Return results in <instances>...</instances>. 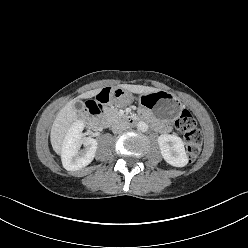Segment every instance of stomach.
Instances as JSON below:
<instances>
[{
    "mask_svg": "<svg viewBox=\"0 0 248 248\" xmlns=\"http://www.w3.org/2000/svg\"><path fill=\"white\" fill-rule=\"evenodd\" d=\"M115 94L116 101L120 105H126L133 99L130 92L121 87L116 89ZM137 103L164 121L176 118L182 108L180 100L175 95L163 90L140 95L137 98Z\"/></svg>",
    "mask_w": 248,
    "mask_h": 248,
    "instance_id": "stomach-1",
    "label": "stomach"
}]
</instances>
